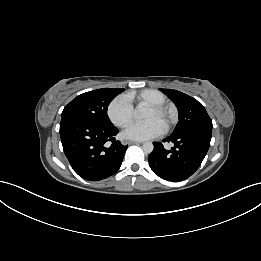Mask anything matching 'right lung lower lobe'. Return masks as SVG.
<instances>
[{
    "label": "right lung lower lobe",
    "instance_id": "98d812e1",
    "mask_svg": "<svg viewBox=\"0 0 261 261\" xmlns=\"http://www.w3.org/2000/svg\"><path fill=\"white\" fill-rule=\"evenodd\" d=\"M118 129L63 117L60 137L64 153L73 170L89 181H99L120 168L127 145L115 141Z\"/></svg>",
    "mask_w": 261,
    "mask_h": 261
}]
</instances>
